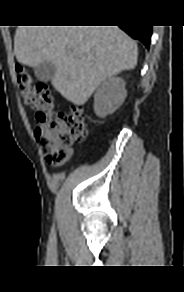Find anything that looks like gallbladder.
Segmentation results:
<instances>
[{"label": "gallbladder", "mask_w": 184, "mask_h": 292, "mask_svg": "<svg viewBox=\"0 0 184 292\" xmlns=\"http://www.w3.org/2000/svg\"><path fill=\"white\" fill-rule=\"evenodd\" d=\"M56 73V67L51 62H42L34 67L35 77L42 82H48L52 80Z\"/></svg>", "instance_id": "gallbladder-1"}]
</instances>
